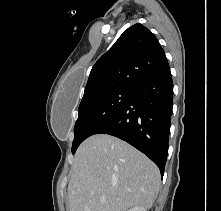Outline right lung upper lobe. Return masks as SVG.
Here are the masks:
<instances>
[{"mask_svg": "<svg viewBox=\"0 0 221 211\" xmlns=\"http://www.w3.org/2000/svg\"><path fill=\"white\" fill-rule=\"evenodd\" d=\"M157 38L142 24L125 30L108 52L93 66L82 100L119 89L169 70Z\"/></svg>", "mask_w": 221, "mask_h": 211, "instance_id": "obj_1", "label": "right lung upper lobe"}]
</instances>
